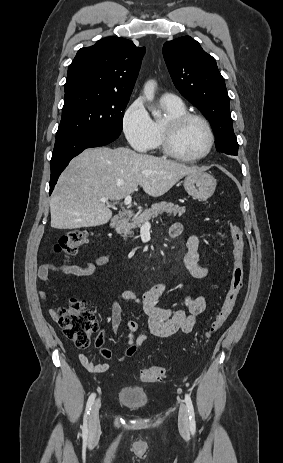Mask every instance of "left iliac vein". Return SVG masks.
Masks as SVG:
<instances>
[{
    "mask_svg": "<svg viewBox=\"0 0 283 463\" xmlns=\"http://www.w3.org/2000/svg\"><path fill=\"white\" fill-rule=\"evenodd\" d=\"M179 427L183 431H187L189 428V414L186 405L181 402L178 414Z\"/></svg>",
    "mask_w": 283,
    "mask_h": 463,
    "instance_id": "4c4485c4",
    "label": "left iliac vein"
}]
</instances>
